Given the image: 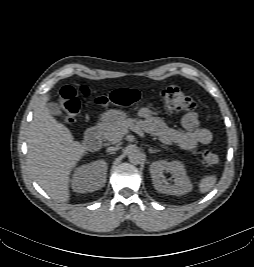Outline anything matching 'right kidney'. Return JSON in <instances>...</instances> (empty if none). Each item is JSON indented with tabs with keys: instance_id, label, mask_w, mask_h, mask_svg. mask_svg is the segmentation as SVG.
Instances as JSON below:
<instances>
[{
	"instance_id": "ca27d5eb",
	"label": "right kidney",
	"mask_w": 254,
	"mask_h": 267,
	"mask_svg": "<svg viewBox=\"0 0 254 267\" xmlns=\"http://www.w3.org/2000/svg\"><path fill=\"white\" fill-rule=\"evenodd\" d=\"M107 163L104 160L93 161L75 170L72 189L78 193L94 192L106 183Z\"/></svg>"
}]
</instances>
